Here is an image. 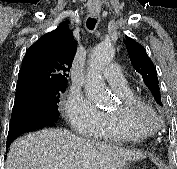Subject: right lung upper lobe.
<instances>
[{
	"mask_svg": "<svg viewBox=\"0 0 177 169\" xmlns=\"http://www.w3.org/2000/svg\"><path fill=\"white\" fill-rule=\"evenodd\" d=\"M76 49L72 31L65 24L42 36L26 51L16 95L66 87Z\"/></svg>",
	"mask_w": 177,
	"mask_h": 169,
	"instance_id": "1",
	"label": "right lung upper lobe"
}]
</instances>
